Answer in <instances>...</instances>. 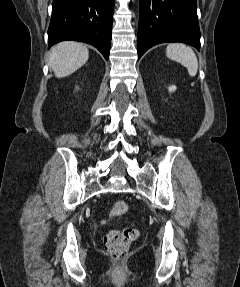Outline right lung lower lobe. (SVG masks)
<instances>
[{
	"mask_svg": "<svg viewBox=\"0 0 240 287\" xmlns=\"http://www.w3.org/2000/svg\"><path fill=\"white\" fill-rule=\"evenodd\" d=\"M115 0H53L48 46L74 40L95 46L109 59Z\"/></svg>",
	"mask_w": 240,
	"mask_h": 287,
	"instance_id": "obj_1",
	"label": "right lung lower lobe"
}]
</instances>
